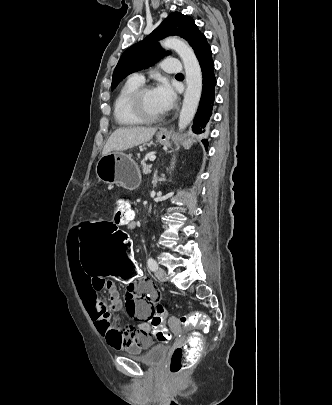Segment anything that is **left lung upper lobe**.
<instances>
[{
    "label": "left lung upper lobe",
    "mask_w": 332,
    "mask_h": 405,
    "mask_svg": "<svg viewBox=\"0 0 332 405\" xmlns=\"http://www.w3.org/2000/svg\"><path fill=\"white\" fill-rule=\"evenodd\" d=\"M171 35L187 40L196 56L208 45L205 35L199 31L190 16L179 12L171 13L150 35L122 54L113 73L111 89L127 75L151 66L164 56L166 53L162 51L158 41Z\"/></svg>",
    "instance_id": "5c2ea615"
}]
</instances>
